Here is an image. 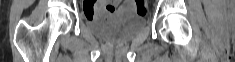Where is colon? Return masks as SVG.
Instances as JSON below:
<instances>
[{
	"label": "colon",
	"mask_w": 235,
	"mask_h": 62,
	"mask_svg": "<svg viewBox=\"0 0 235 62\" xmlns=\"http://www.w3.org/2000/svg\"><path fill=\"white\" fill-rule=\"evenodd\" d=\"M136 11L145 14L147 11L146 1L145 0H135ZM85 13L89 18H105L109 15V10L104 5V1H98L94 5L86 8Z\"/></svg>",
	"instance_id": "1"
}]
</instances>
